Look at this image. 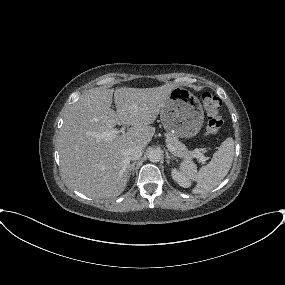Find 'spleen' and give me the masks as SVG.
I'll use <instances>...</instances> for the list:
<instances>
[{"mask_svg":"<svg viewBox=\"0 0 285 285\" xmlns=\"http://www.w3.org/2000/svg\"><path fill=\"white\" fill-rule=\"evenodd\" d=\"M234 157V140L229 137L222 142L211 161L197 170L196 164L183 161L180 165L182 174L197 182L194 194H204L217 187L228 174Z\"/></svg>","mask_w":285,"mask_h":285,"instance_id":"3e777b00","label":"spleen"}]
</instances>
